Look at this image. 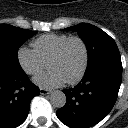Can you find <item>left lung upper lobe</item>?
<instances>
[{"label": "left lung upper lobe", "mask_w": 128, "mask_h": 128, "mask_svg": "<svg viewBox=\"0 0 128 128\" xmlns=\"http://www.w3.org/2000/svg\"><path fill=\"white\" fill-rule=\"evenodd\" d=\"M77 31L88 51V66L106 57H120L115 41L100 28L89 23H80L64 29Z\"/></svg>", "instance_id": "5c2ea615"}]
</instances>
